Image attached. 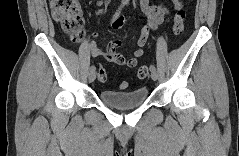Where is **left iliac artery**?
I'll list each match as a JSON object with an SVG mask.
<instances>
[{
    "label": "left iliac artery",
    "mask_w": 239,
    "mask_h": 156,
    "mask_svg": "<svg viewBox=\"0 0 239 156\" xmlns=\"http://www.w3.org/2000/svg\"><path fill=\"white\" fill-rule=\"evenodd\" d=\"M150 70H156V67L154 65H150Z\"/></svg>",
    "instance_id": "obj_1"
}]
</instances>
